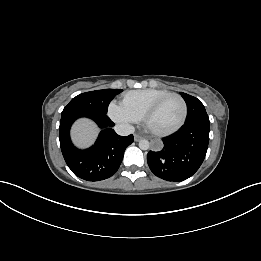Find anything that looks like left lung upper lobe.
I'll use <instances>...</instances> for the list:
<instances>
[{"label":"left lung upper lobe","instance_id":"5c2ea615","mask_svg":"<svg viewBox=\"0 0 261 261\" xmlns=\"http://www.w3.org/2000/svg\"><path fill=\"white\" fill-rule=\"evenodd\" d=\"M187 104V118L185 122H190L199 118H208L204 105L197 98L181 92Z\"/></svg>","mask_w":261,"mask_h":261}]
</instances>
